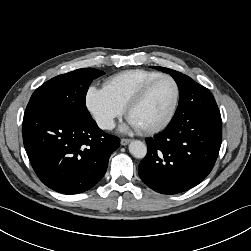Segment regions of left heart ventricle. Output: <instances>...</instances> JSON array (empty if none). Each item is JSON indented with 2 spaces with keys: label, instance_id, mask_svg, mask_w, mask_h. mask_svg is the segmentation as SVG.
<instances>
[{
  "label": "left heart ventricle",
  "instance_id": "left-heart-ventricle-1",
  "mask_svg": "<svg viewBox=\"0 0 251 251\" xmlns=\"http://www.w3.org/2000/svg\"><path fill=\"white\" fill-rule=\"evenodd\" d=\"M175 96L173 83L168 79H162L155 83L148 91L145 98L134 107L129 119L139 129H146L159 124L168 115Z\"/></svg>",
  "mask_w": 251,
  "mask_h": 251
}]
</instances>
